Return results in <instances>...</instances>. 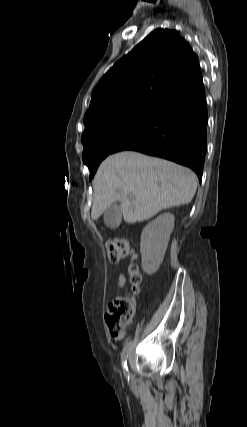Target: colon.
Returning a JSON list of instances; mask_svg holds the SVG:
<instances>
[{
    "label": "colon",
    "instance_id": "1",
    "mask_svg": "<svg viewBox=\"0 0 247 427\" xmlns=\"http://www.w3.org/2000/svg\"><path fill=\"white\" fill-rule=\"evenodd\" d=\"M106 255L110 262L117 263L127 256L135 258L136 254L126 236L110 240L106 244ZM132 293L139 292L143 276L137 265L132 263L129 268ZM135 298L133 295L118 296L108 307L105 315L111 336L120 339L124 336L135 314Z\"/></svg>",
    "mask_w": 247,
    "mask_h": 427
}]
</instances>
